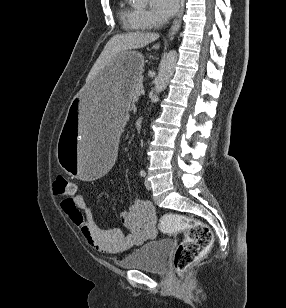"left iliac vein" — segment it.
<instances>
[{"instance_id":"left-iliac-vein-1","label":"left iliac vein","mask_w":286,"mask_h":308,"mask_svg":"<svg viewBox=\"0 0 286 308\" xmlns=\"http://www.w3.org/2000/svg\"><path fill=\"white\" fill-rule=\"evenodd\" d=\"M144 184L147 190H151V182L147 178H145Z\"/></svg>"}]
</instances>
